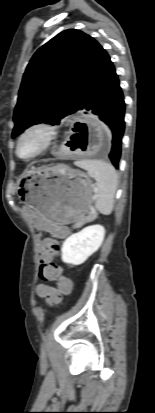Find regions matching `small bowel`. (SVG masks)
<instances>
[{"instance_id": "small-bowel-1", "label": "small bowel", "mask_w": 155, "mask_h": 413, "mask_svg": "<svg viewBox=\"0 0 155 413\" xmlns=\"http://www.w3.org/2000/svg\"><path fill=\"white\" fill-rule=\"evenodd\" d=\"M20 212L26 218H31L30 225L35 227L36 231H51V234L56 237H66L69 234V229L61 226L60 222H48L47 218H42L33 205H22ZM51 290L55 288L45 284L38 285L36 289L37 295L41 298H46Z\"/></svg>"}]
</instances>
